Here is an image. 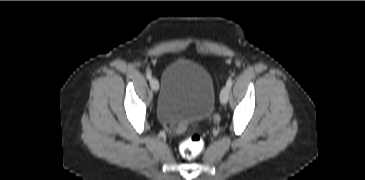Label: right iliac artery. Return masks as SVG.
<instances>
[{
    "mask_svg": "<svg viewBox=\"0 0 365 180\" xmlns=\"http://www.w3.org/2000/svg\"><path fill=\"white\" fill-rule=\"evenodd\" d=\"M146 77L150 80L152 78V75L150 73H147Z\"/></svg>",
    "mask_w": 365,
    "mask_h": 180,
    "instance_id": "1",
    "label": "right iliac artery"
}]
</instances>
